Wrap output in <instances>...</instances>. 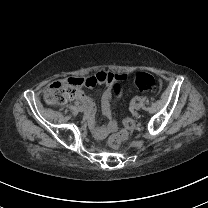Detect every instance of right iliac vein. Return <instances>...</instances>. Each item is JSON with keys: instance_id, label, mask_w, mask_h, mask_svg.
<instances>
[{"instance_id": "obj_1", "label": "right iliac vein", "mask_w": 208, "mask_h": 208, "mask_svg": "<svg viewBox=\"0 0 208 208\" xmlns=\"http://www.w3.org/2000/svg\"><path fill=\"white\" fill-rule=\"evenodd\" d=\"M78 111H79V112H83V111H84V107L79 106V107H78Z\"/></svg>"}]
</instances>
